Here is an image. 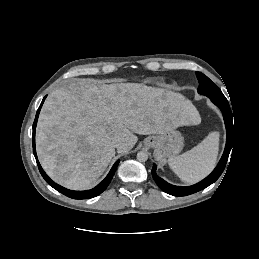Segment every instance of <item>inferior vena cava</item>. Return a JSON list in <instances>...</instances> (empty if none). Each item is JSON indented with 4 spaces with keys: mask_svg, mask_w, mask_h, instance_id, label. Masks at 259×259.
<instances>
[{
    "mask_svg": "<svg viewBox=\"0 0 259 259\" xmlns=\"http://www.w3.org/2000/svg\"><path fill=\"white\" fill-rule=\"evenodd\" d=\"M113 143L117 149H119L123 145V141L121 139H115Z\"/></svg>",
    "mask_w": 259,
    "mask_h": 259,
    "instance_id": "602c4592",
    "label": "inferior vena cava"
}]
</instances>
